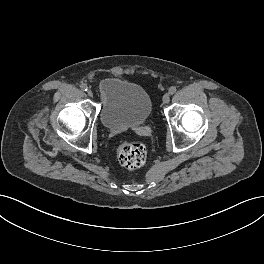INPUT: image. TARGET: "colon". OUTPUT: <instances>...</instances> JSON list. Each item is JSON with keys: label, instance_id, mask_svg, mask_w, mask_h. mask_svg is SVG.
<instances>
[{"label": "colon", "instance_id": "obj_1", "mask_svg": "<svg viewBox=\"0 0 264 264\" xmlns=\"http://www.w3.org/2000/svg\"><path fill=\"white\" fill-rule=\"evenodd\" d=\"M116 157L124 168L134 170L145 164L147 151L141 143L122 142L116 149Z\"/></svg>", "mask_w": 264, "mask_h": 264}]
</instances>
